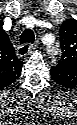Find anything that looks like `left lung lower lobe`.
<instances>
[{
  "label": "left lung lower lobe",
  "mask_w": 77,
  "mask_h": 125,
  "mask_svg": "<svg viewBox=\"0 0 77 125\" xmlns=\"http://www.w3.org/2000/svg\"><path fill=\"white\" fill-rule=\"evenodd\" d=\"M72 70H73V68L70 66L57 64L56 66H53L51 68L52 79L55 82H62L64 80H66L67 77H69V75H71ZM64 75H66V76H64Z\"/></svg>",
  "instance_id": "left-lung-lower-lobe-1"
}]
</instances>
